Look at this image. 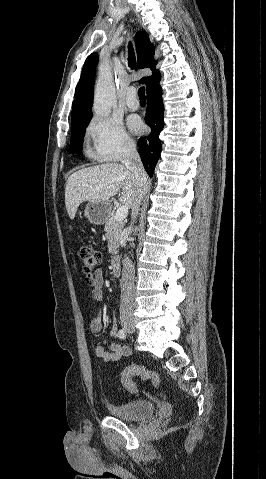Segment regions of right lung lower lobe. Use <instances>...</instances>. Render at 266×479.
<instances>
[{
	"label": "right lung lower lobe",
	"instance_id": "98d812e1",
	"mask_svg": "<svg viewBox=\"0 0 266 479\" xmlns=\"http://www.w3.org/2000/svg\"><path fill=\"white\" fill-rule=\"evenodd\" d=\"M146 93L148 106L145 122L150 126L151 133L146 138H140L138 146L144 168L148 175L152 177L161 151L159 134L164 126V106L159 82L147 89Z\"/></svg>",
	"mask_w": 266,
	"mask_h": 479
}]
</instances>
